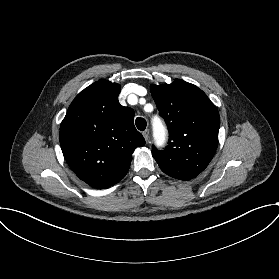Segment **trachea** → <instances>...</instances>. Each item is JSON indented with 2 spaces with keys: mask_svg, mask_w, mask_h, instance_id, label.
<instances>
[{
  "mask_svg": "<svg viewBox=\"0 0 279 279\" xmlns=\"http://www.w3.org/2000/svg\"><path fill=\"white\" fill-rule=\"evenodd\" d=\"M136 126L139 130L144 131L146 128V120L144 118L138 117L135 121Z\"/></svg>",
  "mask_w": 279,
  "mask_h": 279,
  "instance_id": "trachea-1",
  "label": "trachea"
}]
</instances>
